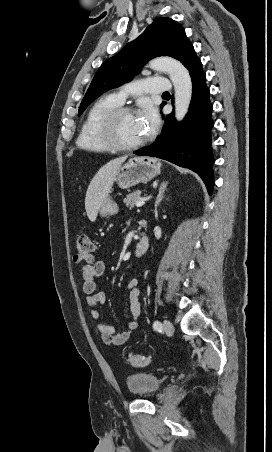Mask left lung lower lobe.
<instances>
[{"label": "left lung lower lobe", "mask_w": 272, "mask_h": 452, "mask_svg": "<svg viewBox=\"0 0 272 452\" xmlns=\"http://www.w3.org/2000/svg\"><path fill=\"white\" fill-rule=\"evenodd\" d=\"M182 63L189 70L193 84L192 101L185 119L177 123L174 114L167 115L157 141L134 153L165 159L193 170L203 179L211 195L214 182L211 128L214 123L211 119L210 92L201 61L193 47Z\"/></svg>", "instance_id": "left-lung-lower-lobe-1"}]
</instances>
